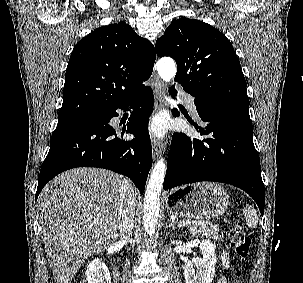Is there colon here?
<instances>
[{
	"label": "colon",
	"instance_id": "5ec220e1",
	"mask_svg": "<svg viewBox=\"0 0 303 283\" xmlns=\"http://www.w3.org/2000/svg\"><path fill=\"white\" fill-rule=\"evenodd\" d=\"M231 246L239 260H245L249 256L251 239L248 236L243 224L239 220L233 222L230 233ZM241 273H235V283H239Z\"/></svg>",
	"mask_w": 303,
	"mask_h": 283
}]
</instances>
